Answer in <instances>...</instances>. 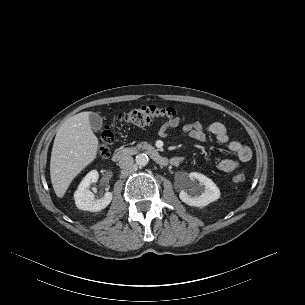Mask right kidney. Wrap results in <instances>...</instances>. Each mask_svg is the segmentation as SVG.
<instances>
[{
  "label": "right kidney",
  "instance_id": "ca27d5eb",
  "mask_svg": "<svg viewBox=\"0 0 305 305\" xmlns=\"http://www.w3.org/2000/svg\"><path fill=\"white\" fill-rule=\"evenodd\" d=\"M98 178V172L92 170L81 181L74 193L75 204L78 209L97 212L110 204L113 197L111 192H106L102 198L95 199L94 194L89 190L90 184L97 182Z\"/></svg>",
  "mask_w": 305,
  "mask_h": 305
}]
</instances>
